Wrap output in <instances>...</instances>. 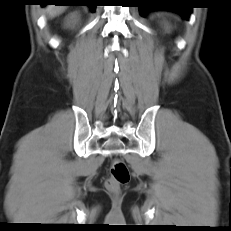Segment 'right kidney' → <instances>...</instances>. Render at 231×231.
Segmentation results:
<instances>
[{"label": "right kidney", "mask_w": 231, "mask_h": 231, "mask_svg": "<svg viewBox=\"0 0 231 231\" xmlns=\"http://www.w3.org/2000/svg\"><path fill=\"white\" fill-rule=\"evenodd\" d=\"M77 22H78L77 13L70 14L66 19V25L69 27H74Z\"/></svg>", "instance_id": "obj_1"}]
</instances>
